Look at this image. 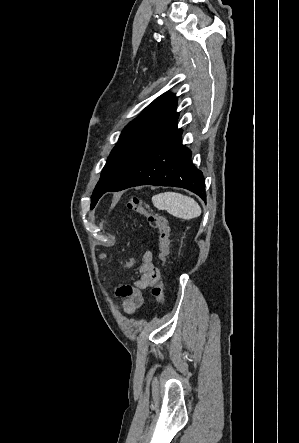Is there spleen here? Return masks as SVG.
<instances>
[{
    "mask_svg": "<svg viewBox=\"0 0 299 443\" xmlns=\"http://www.w3.org/2000/svg\"><path fill=\"white\" fill-rule=\"evenodd\" d=\"M152 202L157 209L166 210L169 214L185 220L197 218L202 213L201 207L193 198L177 192L154 195Z\"/></svg>",
    "mask_w": 299,
    "mask_h": 443,
    "instance_id": "spleen-1",
    "label": "spleen"
}]
</instances>
